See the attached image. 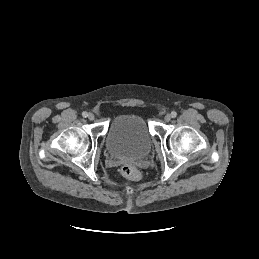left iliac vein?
I'll return each instance as SVG.
<instances>
[{"mask_svg":"<svg viewBox=\"0 0 259 259\" xmlns=\"http://www.w3.org/2000/svg\"><path fill=\"white\" fill-rule=\"evenodd\" d=\"M164 120L166 122H169L171 120V115L170 114L165 115Z\"/></svg>","mask_w":259,"mask_h":259,"instance_id":"1","label":"left iliac vein"}]
</instances>
